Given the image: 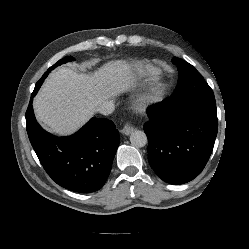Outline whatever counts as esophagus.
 Masks as SVG:
<instances>
[{
    "mask_svg": "<svg viewBox=\"0 0 249 249\" xmlns=\"http://www.w3.org/2000/svg\"><path fill=\"white\" fill-rule=\"evenodd\" d=\"M134 130V127L130 124H126L123 129L121 130V132L125 135H129L130 133H132Z\"/></svg>",
    "mask_w": 249,
    "mask_h": 249,
    "instance_id": "1",
    "label": "esophagus"
}]
</instances>
